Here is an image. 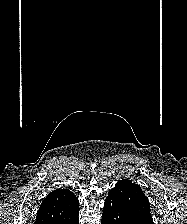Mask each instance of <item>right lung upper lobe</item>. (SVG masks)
I'll return each mask as SVG.
<instances>
[{"label":"right lung upper lobe","mask_w":187,"mask_h":224,"mask_svg":"<svg viewBox=\"0 0 187 224\" xmlns=\"http://www.w3.org/2000/svg\"><path fill=\"white\" fill-rule=\"evenodd\" d=\"M78 209L79 201L70 190H54L42 202L35 224H65Z\"/></svg>","instance_id":"right-lung-upper-lobe-1"}]
</instances>
